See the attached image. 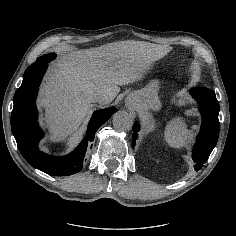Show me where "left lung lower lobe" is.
I'll list each match as a JSON object with an SVG mask.
<instances>
[{
    "label": "left lung lower lobe",
    "instance_id": "1",
    "mask_svg": "<svg viewBox=\"0 0 236 236\" xmlns=\"http://www.w3.org/2000/svg\"><path fill=\"white\" fill-rule=\"evenodd\" d=\"M190 93L197 100L202 115L201 129L193 148V160L196 162L194 167L198 171L207 161L218 140L220 130L219 102L215 93L205 87L192 88ZM133 131L132 144L134 147L139 131L137 122L133 125Z\"/></svg>",
    "mask_w": 236,
    "mask_h": 236
}]
</instances>
